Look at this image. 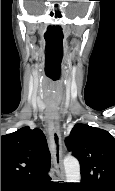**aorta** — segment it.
Here are the masks:
<instances>
[{"label": "aorta", "instance_id": "aorta-1", "mask_svg": "<svg viewBox=\"0 0 115 191\" xmlns=\"http://www.w3.org/2000/svg\"><path fill=\"white\" fill-rule=\"evenodd\" d=\"M64 168L66 181L68 183H79L80 182V165L76 158L67 156L64 159Z\"/></svg>", "mask_w": 115, "mask_h": 191}]
</instances>
